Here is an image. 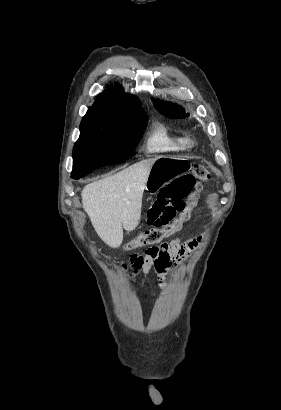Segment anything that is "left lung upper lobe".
Segmentation results:
<instances>
[{
  "label": "left lung upper lobe",
  "instance_id": "5c2ea615",
  "mask_svg": "<svg viewBox=\"0 0 281 410\" xmlns=\"http://www.w3.org/2000/svg\"><path fill=\"white\" fill-rule=\"evenodd\" d=\"M153 104L155 108L163 115L168 116L174 119H182L189 116V114L185 113L183 107H179L176 104H172L165 101H160L158 99L152 98Z\"/></svg>",
  "mask_w": 281,
  "mask_h": 410
}]
</instances>
